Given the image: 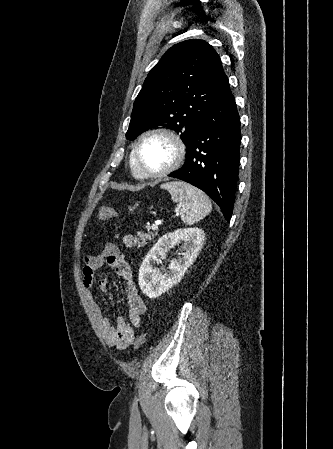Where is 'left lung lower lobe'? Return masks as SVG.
<instances>
[{
    "mask_svg": "<svg viewBox=\"0 0 333 449\" xmlns=\"http://www.w3.org/2000/svg\"><path fill=\"white\" fill-rule=\"evenodd\" d=\"M240 117L229 83L209 105L197 127L184 165L169 176L203 190L229 222L240 157Z\"/></svg>",
    "mask_w": 333,
    "mask_h": 449,
    "instance_id": "obj_1",
    "label": "left lung lower lobe"
}]
</instances>
